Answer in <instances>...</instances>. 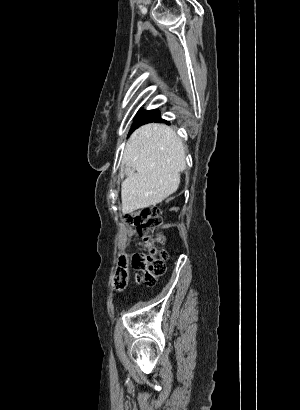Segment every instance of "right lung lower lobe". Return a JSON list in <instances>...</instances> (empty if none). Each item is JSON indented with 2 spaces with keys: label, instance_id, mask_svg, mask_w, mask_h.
I'll return each mask as SVG.
<instances>
[{
  "label": "right lung lower lobe",
  "instance_id": "98d812e1",
  "mask_svg": "<svg viewBox=\"0 0 300 410\" xmlns=\"http://www.w3.org/2000/svg\"><path fill=\"white\" fill-rule=\"evenodd\" d=\"M153 121H154V122H159V121H163V120L160 119L159 114H156V115H154V116L148 118V119L145 120L144 122H142L141 125H142V124H145V123H148V122H153Z\"/></svg>",
  "mask_w": 300,
  "mask_h": 410
}]
</instances>
